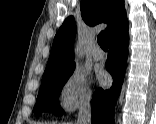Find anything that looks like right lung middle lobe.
<instances>
[{
  "mask_svg": "<svg viewBox=\"0 0 156 124\" xmlns=\"http://www.w3.org/2000/svg\"><path fill=\"white\" fill-rule=\"evenodd\" d=\"M73 70L74 68L42 79V85L34 106L36 115L47 111L58 116L61 115L62 109L59 105V95L64 84L73 73Z\"/></svg>",
  "mask_w": 156,
  "mask_h": 124,
  "instance_id": "1",
  "label": "right lung middle lobe"
}]
</instances>
